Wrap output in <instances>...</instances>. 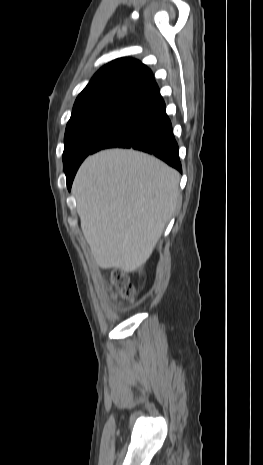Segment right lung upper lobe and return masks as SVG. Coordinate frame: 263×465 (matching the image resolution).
I'll return each mask as SVG.
<instances>
[{
	"label": "right lung upper lobe",
	"mask_w": 263,
	"mask_h": 465,
	"mask_svg": "<svg viewBox=\"0 0 263 465\" xmlns=\"http://www.w3.org/2000/svg\"><path fill=\"white\" fill-rule=\"evenodd\" d=\"M157 88L149 68L136 59L120 58L93 76L77 97L74 108L108 98L139 100Z\"/></svg>",
	"instance_id": "1"
}]
</instances>
